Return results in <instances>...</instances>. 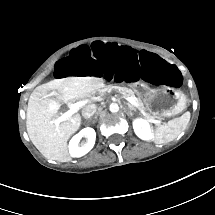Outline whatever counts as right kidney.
Returning <instances> with one entry per match:
<instances>
[{"label": "right kidney", "mask_w": 215, "mask_h": 215, "mask_svg": "<svg viewBox=\"0 0 215 215\" xmlns=\"http://www.w3.org/2000/svg\"><path fill=\"white\" fill-rule=\"evenodd\" d=\"M86 135L88 140L87 142L79 147V141L82 138V136ZM96 139V133L95 130L91 127H85L83 128L79 133L75 134L69 141L68 150L69 154L73 158L81 157L85 154H87L94 146Z\"/></svg>", "instance_id": "ca27d5eb"}]
</instances>
